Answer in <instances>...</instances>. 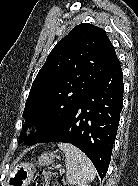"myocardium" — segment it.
I'll list each match as a JSON object with an SVG mask.
<instances>
[{
	"instance_id": "obj_1",
	"label": "myocardium",
	"mask_w": 138,
	"mask_h": 186,
	"mask_svg": "<svg viewBox=\"0 0 138 186\" xmlns=\"http://www.w3.org/2000/svg\"><path fill=\"white\" fill-rule=\"evenodd\" d=\"M36 128H37L36 126L33 127V129H36Z\"/></svg>"
}]
</instances>
